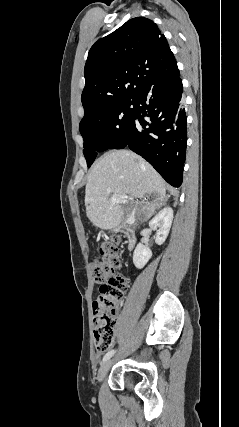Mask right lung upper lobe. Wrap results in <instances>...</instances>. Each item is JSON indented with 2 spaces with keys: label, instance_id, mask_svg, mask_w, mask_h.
Wrapping results in <instances>:
<instances>
[{
  "label": "right lung upper lobe",
  "instance_id": "1",
  "mask_svg": "<svg viewBox=\"0 0 239 427\" xmlns=\"http://www.w3.org/2000/svg\"><path fill=\"white\" fill-rule=\"evenodd\" d=\"M179 73L165 36L150 19H130L98 40L84 69L82 104L85 113L97 104L136 99L154 84Z\"/></svg>",
  "mask_w": 239,
  "mask_h": 427
}]
</instances>
